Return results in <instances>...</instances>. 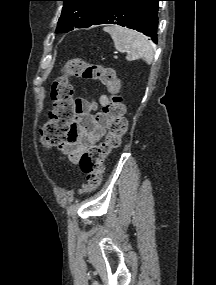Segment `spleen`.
I'll list each match as a JSON object with an SVG mask.
<instances>
[{"mask_svg":"<svg viewBox=\"0 0 216 285\" xmlns=\"http://www.w3.org/2000/svg\"><path fill=\"white\" fill-rule=\"evenodd\" d=\"M103 30L111 35L116 50L127 53L128 61L143 59L147 64L152 63L153 47L145 35L119 26H107Z\"/></svg>","mask_w":216,"mask_h":285,"instance_id":"spleen-1","label":"spleen"}]
</instances>
